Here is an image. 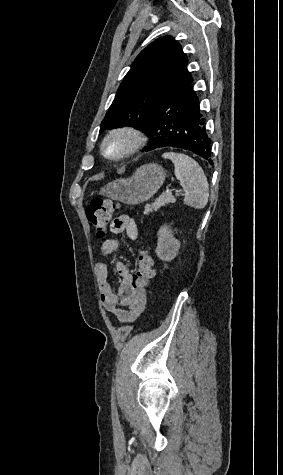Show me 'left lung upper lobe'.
<instances>
[{
	"label": "left lung upper lobe",
	"instance_id": "left-lung-upper-lobe-1",
	"mask_svg": "<svg viewBox=\"0 0 283 475\" xmlns=\"http://www.w3.org/2000/svg\"><path fill=\"white\" fill-rule=\"evenodd\" d=\"M188 59L171 36L156 39L136 57L101 123L100 132L122 125L143 131L155 106L190 76Z\"/></svg>",
	"mask_w": 283,
	"mask_h": 475
}]
</instances>
